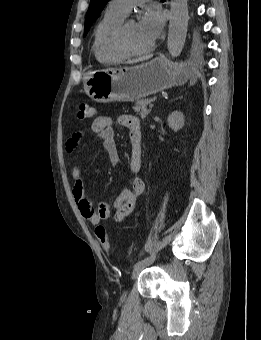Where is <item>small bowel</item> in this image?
I'll use <instances>...</instances> for the list:
<instances>
[{"label": "small bowel", "mask_w": 261, "mask_h": 340, "mask_svg": "<svg viewBox=\"0 0 261 340\" xmlns=\"http://www.w3.org/2000/svg\"><path fill=\"white\" fill-rule=\"evenodd\" d=\"M118 123L120 126L126 128L129 133L131 144L129 170L135 175L131 187L123 190L114 201V219L116 221H122L133 212L139 197L144 191L145 184L141 178L136 176L142 161V133L139 120L135 116L122 115L118 118ZM91 128L101 140L111 164L113 166L118 165L119 154L112 119L104 115L98 116L93 121ZM82 135L81 132H77L67 140L66 149L68 152H72L78 146ZM72 179L74 182L73 195L82 216L92 225H97L101 221L110 218L112 211L107 203L102 202L95 205L88 197L84 178L78 165H75L72 169Z\"/></svg>", "instance_id": "obj_1"}]
</instances>
